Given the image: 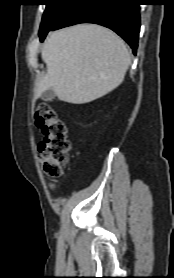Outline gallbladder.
I'll use <instances>...</instances> for the list:
<instances>
[{"label":"gallbladder","instance_id":"1","mask_svg":"<svg viewBox=\"0 0 174 278\" xmlns=\"http://www.w3.org/2000/svg\"><path fill=\"white\" fill-rule=\"evenodd\" d=\"M55 92L53 91V89H48L45 92L42 93V100L50 102L53 101L55 98Z\"/></svg>","mask_w":174,"mask_h":278}]
</instances>
